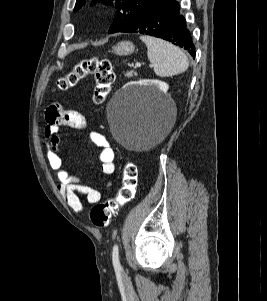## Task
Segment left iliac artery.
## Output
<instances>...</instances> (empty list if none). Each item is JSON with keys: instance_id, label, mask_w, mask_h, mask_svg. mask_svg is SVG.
<instances>
[{"instance_id": "obj_1", "label": "left iliac artery", "mask_w": 267, "mask_h": 301, "mask_svg": "<svg viewBox=\"0 0 267 301\" xmlns=\"http://www.w3.org/2000/svg\"><path fill=\"white\" fill-rule=\"evenodd\" d=\"M112 260L115 268H121L120 260H119V248L118 245L115 244L112 251Z\"/></svg>"}]
</instances>
